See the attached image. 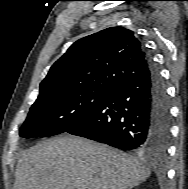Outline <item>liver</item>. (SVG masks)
Returning <instances> with one entry per match:
<instances>
[{"mask_svg":"<svg viewBox=\"0 0 188 189\" xmlns=\"http://www.w3.org/2000/svg\"><path fill=\"white\" fill-rule=\"evenodd\" d=\"M149 175L130 155L85 138L63 136L23 152L13 189H129Z\"/></svg>","mask_w":188,"mask_h":189,"instance_id":"6515ba94","label":"liver"}]
</instances>
